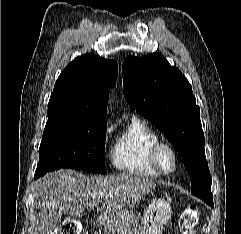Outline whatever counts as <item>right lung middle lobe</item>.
<instances>
[{
	"label": "right lung middle lobe",
	"mask_w": 241,
	"mask_h": 234,
	"mask_svg": "<svg viewBox=\"0 0 241 234\" xmlns=\"http://www.w3.org/2000/svg\"><path fill=\"white\" fill-rule=\"evenodd\" d=\"M47 115L35 175L64 168L106 173L107 124L83 122L68 110H51Z\"/></svg>",
	"instance_id": "dd1d6c3e"
}]
</instances>
